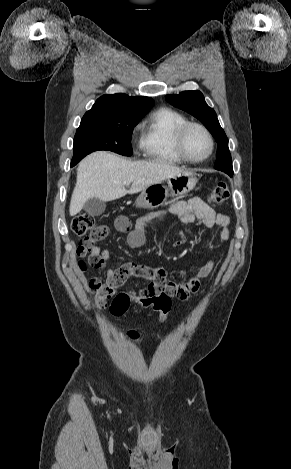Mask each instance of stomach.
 <instances>
[{"instance_id":"0dacf381","label":"stomach","mask_w":291,"mask_h":469,"mask_svg":"<svg viewBox=\"0 0 291 469\" xmlns=\"http://www.w3.org/2000/svg\"><path fill=\"white\" fill-rule=\"evenodd\" d=\"M196 174L183 171L163 182L155 183L145 188L136 199V206L154 209L163 205L169 197H177L190 192L197 183Z\"/></svg>"}]
</instances>
